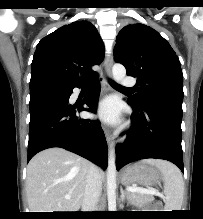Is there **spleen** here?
Wrapping results in <instances>:
<instances>
[{
	"label": "spleen",
	"mask_w": 203,
	"mask_h": 219,
	"mask_svg": "<svg viewBox=\"0 0 203 219\" xmlns=\"http://www.w3.org/2000/svg\"><path fill=\"white\" fill-rule=\"evenodd\" d=\"M142 163L157 167L163 174L166 211L181 210L184 182L180 170L172 163L160 159H144Z\"/></svg>",
	"instance_id": "1"
}]
</instances>
